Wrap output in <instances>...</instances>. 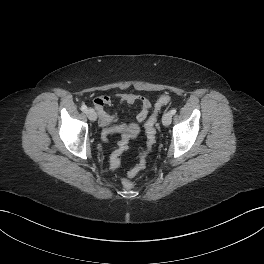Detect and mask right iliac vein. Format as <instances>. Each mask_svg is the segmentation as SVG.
Wrapping results in <instances>:
<instances>
[{
  "label": "right iliac vein",
  "mask_w": 264,
  "mask_h": 264,
  "mask_svg": "<svg viewBox=\"0 0 264 264\" xmlns=\"http://www.w3.org/2000/svg\"><path fill=\"white\" fill-rule=\"evenodd\" d=\"M86 115L91 121H95L97 118L96 112L92 108L86 110Z\"/></svg>",
  "instance_id": "63e3f726"
}]
</instances>
